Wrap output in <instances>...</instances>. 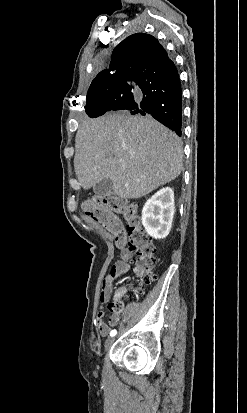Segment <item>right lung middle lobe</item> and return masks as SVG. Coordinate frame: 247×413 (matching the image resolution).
I'll use <instances>...</instances> for the list:
<instances>
[{
    "mask_svg": "<svg viewBox=\"0 0 247 413\" xmlns=\"http://www.w3.org/2000/svg\"><path fill=\"white\" fill-rule=\"evenodd\" d=\"M129 91L124 81L109 82L93 80L87 93L86 113L92 112L99 107L106 99L112 96H121Z\"/></svg>",
    "mask_w": 247,
    "mask_h": 413,
    "instance_id": "1",
    "label": "right lung middle lobe"
}]
</instances>
